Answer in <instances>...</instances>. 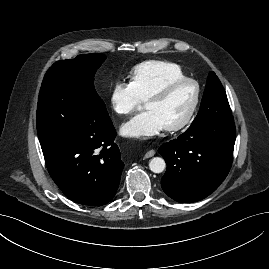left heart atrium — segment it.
<instances>
[{
	"instance_id": "left-heart-atrium-1",
	"label": "left heart atrium",
	"mask_w": 269,
	"mask_h": 269,
	"mask_svg": "<svg viewBox=\"0 0 269 269\" xmlns=\"http://www.w3.org/2000/svg\"><path fill=\"white\" fill-rule=\"evenodd\" d=\"M165 125L160 117L153 111L140 113L121 127V133L132 138H150L158 135Z\"/></svg>"
}]
</instances>
